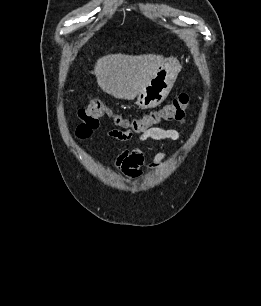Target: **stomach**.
Masks as SVG:
<instances>
[{
  "label": "stomach",
  "instance_id": "obj_1",
  "mask_svg": "<svg viewBox=\"0 0 261 306\" xmlns=\"http://www.w3.org/2000/svg\"><path fill=\"white\" fill-rule=\"evenodd\" d=\"M181 65L176 59L164 60L138 94L136 104L140 108H154L169 94L180 72Z\"/></svg>",
  "mask_w": 261,
  "mask_h": 306
}]
</instances>
